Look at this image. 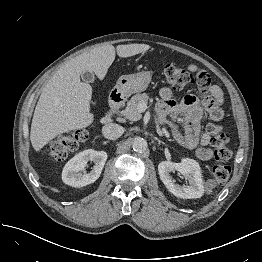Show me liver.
I'll list each match as a JSON object with an SVG mask.
<instances>
[{
	"instance_id": "liver-1",
	"label": "liver",
	"mask_w": 262,
	"mask_h": 262,
	"mask_svg": "<svg viewBox=\"0 0 262 262\" xmlns=\"http://www.w3.org/2000/svg\"><path fill=\"white\" fill-rule=\"evenodd\" d=\"M147 44H127L116 47L121 58L148 51ZM113 45H103L84 52L65 63L50 78L37 102L30 131V140L38 153L52 139L63 133L83 129L93 123L90 112L92 88L81 82L83 72H94L103 80L115 59ZM103 118L102 122H110Z\"/></svg>"
}]
</instances>
